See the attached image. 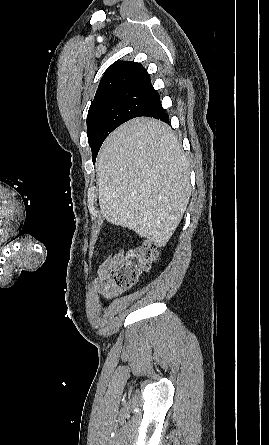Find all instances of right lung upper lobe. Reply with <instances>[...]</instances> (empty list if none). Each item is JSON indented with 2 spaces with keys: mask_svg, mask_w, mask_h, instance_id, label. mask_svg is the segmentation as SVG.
Here are the masks:
<instances>
[{
  "mask_svg": "<svg viewBox=\"0 0 269 445\" xmlns=\"http://www.w3.org/2000/svg\"><path fill=\"white\" fill-rule=\"evenodd\" d=\"M150 87L153 88L150 75L140 63L117 61L105 71L94 100L115 90Z\"/></svg>",
  "mask_w": 269,
  "mask_h": 445,
  "instance_id": "1",
  "label": "right lung upper lobe"
}]
</instances>
